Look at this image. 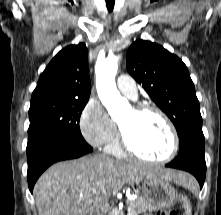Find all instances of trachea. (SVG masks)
I'll return each mask as SVG.
<instances>
[{
	"label": "trachea",
	"mask_w": 221,
	"mask_h": 215,
	"mask_svg": "<svg viewBox=\"0 0 221 215\" xmlns=\"http://www.w3.org/2000/svg\"><path fill=\"white\" fill-rule=\"evenodd\" d=\"M115 0H106V6L109 12L113 11Z\"/></svg>",
	"instance_id": "3493384b"
}]
</instances>
